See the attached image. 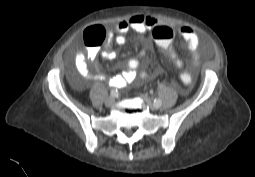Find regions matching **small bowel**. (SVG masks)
Returning a JSON list of instances; mask_svg holds the SVG:
<instances>
[{"mask_svg":"<svg viewBox=\"0 0 255 177\" xmlns=\"http://www.w3.org/2000/svg\"><path fill=\"white\" fill-rule=\"evenodd\" d=\"M159 24L160 22L156 18L144 15H134L129 19L119 21L116 25L118 34L113 36L111 32L108 33L101 56L106 60L111 59L114 55L112 48L113 42L117 45H123L126 42L125 34L130 30L137 33H146ZM167 26L175 28L179 35L187 42L190 52L196 55L200 43L196 32L188 26H176L171 23H168ZM152 48L153 45L150 42H146L140 51V57H144ZM98 56L99 49L94 47L87 49L86 52L78 51L75 54V68L83 78L92 81L107 82L110 86L122 88L128 85H140L150 77L147 71L140 70V60L138 58L129 59L126 63V69L110 78H106L103 74H94L90 69L88 60L95 61Z\"/></svg>","mask_w":255,"mask_h":177,"instance_id":"small-bowel-1","label":"small bowel"}]
</instances>
